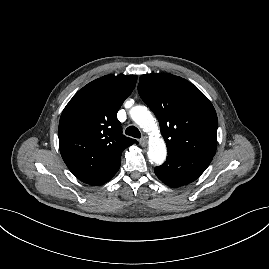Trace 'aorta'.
Wrapping results in <instances>:
<instances>
[{
    "instance_id": "1",
    "label": "aorta",
    "mask_w": 269,
    "mask_h": 269,
    "mask_svg": "<svg viewBox=\"0 0 269 269\" xmlns=\"http://www.w3.org/2000/svg\"><path fill=\"white\" fill-rule=\"evenodd\" d=\"M132 120L143 130L147 132H154L155 136L152 137L149 148L148 158L152 164L161 165L166 159L167 148L165 141L161 137L157 123L152 116L151 112L141 105L134 106L129 111Z\"/></svg>"
}]
</instances>
